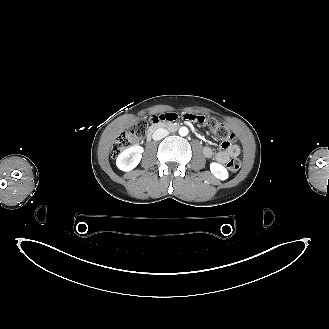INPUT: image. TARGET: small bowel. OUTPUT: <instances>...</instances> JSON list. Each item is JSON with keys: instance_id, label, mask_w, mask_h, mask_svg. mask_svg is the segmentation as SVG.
I'll return each instance as SVG.
<instances>
[{"instance_id": "1", "label": "small bowel", "mask_w": 329, "mask_h": 329, "mask_svg": "<svg viewBox=\"0 0 329 329\" xmlns=\"http://www.w3.org/2000/svg\"><path fill=\"white\" fill-rule=\"evenodd\" d=\"M157 118L164 122H176L180 119H183L185 122L194 123L196 126L201 127L203 124L207 122V119L204 116L198 117L193 112H167V113H159ZM204 155L208 158H214L219 163H226L230 158L237 157L240 154V149L237 145H229L224 146L219 151H214L212 147L206 146L203 150Z\"/></svg>"}]
</instances>
